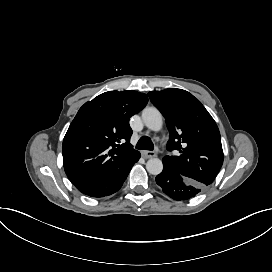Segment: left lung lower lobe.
Listing matches in <instances>:
<instances>
[{
	"label": "left lung lower lobe",
	"mask_w": 272,
	"mask_h": 272,
	"mask_svg": "<svg viewBox=\"0 0 272 272\" xmlns=\"http://www.w3.org/2000/svg\"><path fill=\"white\" fill-rule=\"evenodd\" d=\"M156 183L166 195L178 201L193 198L205 188V186L183 177L165 164H163V171L156 176Z\"/></svg>",
	"instance_id": "left-lung-lower-lobe-1"
}]
</instances>
